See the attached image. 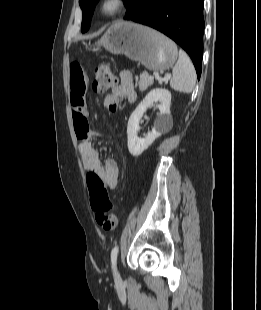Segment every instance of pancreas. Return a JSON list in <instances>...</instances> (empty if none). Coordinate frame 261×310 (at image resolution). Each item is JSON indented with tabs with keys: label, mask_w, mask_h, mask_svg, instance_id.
Wrapping results in <instances>:
<instances>
[{
	"label": "pancreas",
	"mask_w": 261,
	"mask_h": 310,
	"mask_svg": "<svg viewBox=\"0 0 261 310\" xmlns=\"http://www.w3.org/2000/svg\"><path fill=\"white\" fill-rule=\"evenodd\" d=\"M153 84V77L150 76L146 71H144L140 75L139 79V90L145 91L148 87H150Z\"/></svg>",
	"instance_id": "obj_1"
}]
</instances>
